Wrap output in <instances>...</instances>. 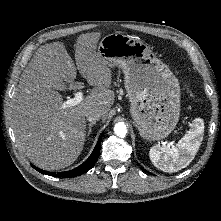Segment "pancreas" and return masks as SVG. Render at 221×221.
I'll return each mask as SVG.
<instances>
[{"mask_svg": "<svg viewBox=\"0 0 221 221\" xmlns=\"http://www.w3.org/2000/svg\"><path fill=\"white\" fill-rule=\"evenodd\" d=\"M119 93L122 94V91L120 90Z\"/></svg>", "mask_w": 221, "mask_h": 221, "instance_id": "obj_1", "label": "pancreas"}]
</instances>
